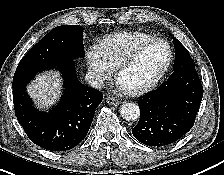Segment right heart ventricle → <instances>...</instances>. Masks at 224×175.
<instances>
[{
  "mask_svg": "<svg viewBox=\"0 0 224 175\" xmlns=\"http://www.w3.org/2000/svg\"><path fill=\"white\" fill-rule=\"evenodd\" d=\"M153 38L152 35L139 31L118 32L103 38L98 45V49L114 68L138 46Z\"/></svg>",
  "mask_w": 224,
  "mask_h": 175,
  "instance_id": "1",
  "label": "right heart ventricle"
}]
</instances>
